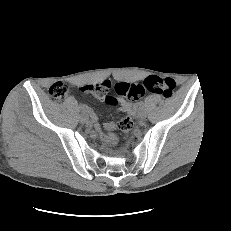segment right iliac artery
<instances>
[{
	"mask_svg": "<svg viewBox=\"0 0 231 231\" xmlns=\"http://www.w3.org/2000/svg\"><path fill=\"white\" fill-rule=\"evenodd\" d=\"M79 108H80V110L82 112H86L87 111V107L85 105H80Z\"/></svg>",
	"mask_w": 231,
	"mask_h": 231,
	"instance_id": "obj_1",
	"label": "right iliac artery"
}]
</instances>
